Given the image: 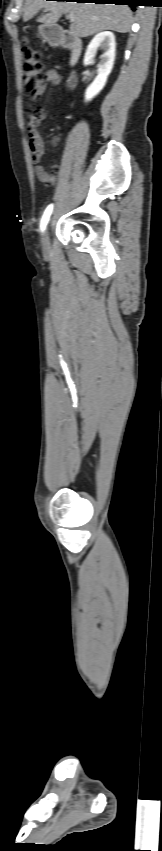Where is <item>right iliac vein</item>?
<instances>
[{
  "mask_svg": "<svg viewBox=\"0 0 162 851\" xmlns=\"http://www.w3.org/2000/svg\"><path fill=\"white\" fill-rule=\"evenodd\" d=\"M42 248L45 253L49 251V231L48 229L45 231L43 240H42Z\"/></svg>",
  "mask_w": 162,
  "mask_h": 851,
  "instance_id": "63e3f726",
  "label": "right iliac vein"
}]
</instances>
